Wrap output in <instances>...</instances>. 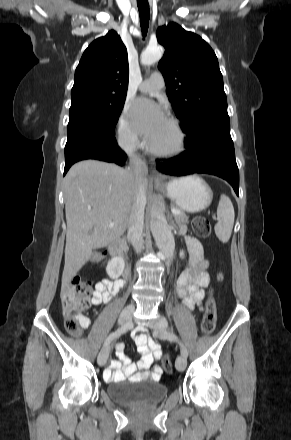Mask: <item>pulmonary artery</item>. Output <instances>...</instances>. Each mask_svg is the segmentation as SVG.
<instances>
[{"label":"pulmonary artery","mask_w":291,"mask_h":440,"mask_svg":"<svg viewBox=\"0 0 291 440\" xmlns=\"http://www.w3.org/2000/svg\"><path fill=\"white\" fill-rule=\"evenodd\" d=\"M165 81L160 73H153L139 85L141 92H154L164 87Z\"/></svg>","instance_id":"pulmonary-artery-1"}]
</instances>
